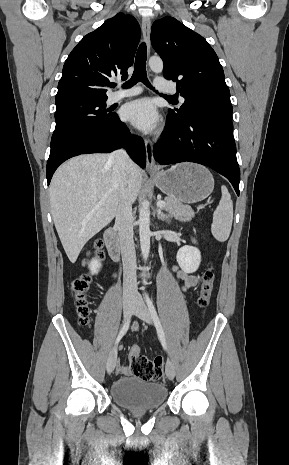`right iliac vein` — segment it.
Returning a JSON list of instances; mask_svg holds the SVG:
<instances>
[{
  "label": "right iliac vein",
  "mask_w": 289,
  "mask_h": 465,
  "mask_svg": "<svg viewBox=\"0 0 289 465\" xmlns=\"http://www.w3.org/2000/svg\"><path fill=\"white\" fill-rule=\"evenodd\" d=\"M133 308H134V300L133 299H126L124 300L123 302V314H124V318H128L131 313L133 312ZM116 360H117V347H114L109 356H108V359H107V363H106V368H107V372L108 373H111L113 372L114 368H115V365H116Z\"/></svg>",
  "instance_id": "63e3f726"
}]
</instances>
